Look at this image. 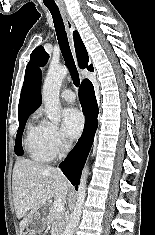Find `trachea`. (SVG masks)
Here are the masks:
<instances>
[{
  "label": "trachea",
  "instance_id": "3493384b",
  "mask_svg": "<svg viewBox=\"0 0 155 235\" xmlns=\"http://www.w3.org/2000/svg\"><path fill=\"white\" fill-rule=\"evenodd\" d=\"M52 15L54 27L56 30V35L62 56L64 58L65 64L70 72L71 79L76 87L79 86V75L75 66V62L69 47V42L67 34L65 31V26L59 8L47 7Z\"/></svg>",
  "mask_w": 155,
  "mask_h": 235
}]
</instances>
